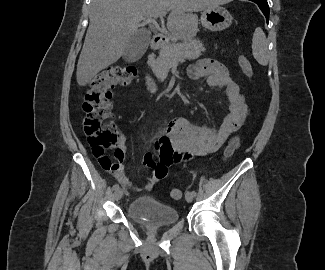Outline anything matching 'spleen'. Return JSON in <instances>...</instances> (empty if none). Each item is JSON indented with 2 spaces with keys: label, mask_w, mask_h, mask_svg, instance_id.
Wrapping results in <instances>:
<instances>
[{
  "label": "spleen",
  "mask_w": 325,
  "mask_h": 270,
  "mask_svg": "<svg viewBox=\"0 0 325 270\" xmlns=\"http://www.w3.org/2000/svg\"><path fill=\"white\" fill-rule=\"evenodd\" d=\"M252 51L256 61L263 66H266L269 61L268 41L263 30L257 27L253 34Z\"/></svg>",
  "instance_id": "3e777b00"
}]
</instances>
